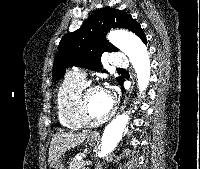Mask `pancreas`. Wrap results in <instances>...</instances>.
Returning a JSON list of instances; mask_svg holds the SVG:
<instances>
[{"label": "pancreas", "instance_id": "1", "mask_svg": "<svg viewBox=\"0 0 200 169\" xmlns=\"http://www.w3.org/2000/svg\"><path fill=\"white\" fill-rule=\"evenodd\" d=\"M69 169H89V168L84 167L83 161L74 158L69 165Z\"/></svg>", "mask_w": 200, "mask_h": 169}]
</instances>
